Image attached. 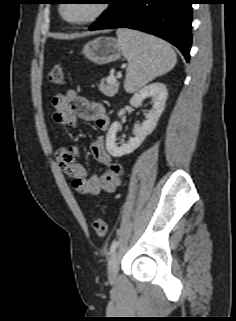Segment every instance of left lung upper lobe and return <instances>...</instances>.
Segmentation results:
<instances>
[{"mask_svg": "<svg viewBox=\"0 0 236 321\" xmlns=\"http://www.w3.org/2000/svg\"><path fill=\"white\" fill-rule=\"evenodd\" d=\"M106 2L105 3H107V4H112V2L114 1V0H105ZM51 3H53V1L51 2Z\"/></svg>", "mask_w": 236, "mask_h": 321, "instance_id": "left-lung-upper-lobe-1", "label": "left lung upper lobe"}]
</instances>
